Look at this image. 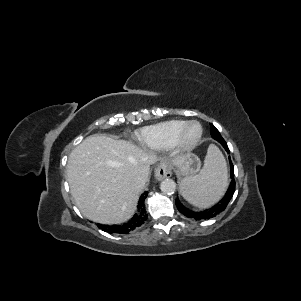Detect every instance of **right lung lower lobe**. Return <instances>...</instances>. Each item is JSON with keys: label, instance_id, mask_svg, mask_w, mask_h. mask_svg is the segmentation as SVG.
Masks as SVG:
<instances>
[{"label": "right lung lower lobe", "instance_id": "98d812e1", "mask_svg": "<svg viewBox=\"0 0 301 301\" xmlns=\"http://www.w3.org/2000/svg\"><path fill=\"white\" fill-rule=\"evenodd\" d=\"M147 194H148L147 192H144L141 195L139 204H138L139 214H135L134 217L129 222L124 223L122 225L97 224L98 227L108 233L127 234V233L133 231L135 228L142 225L147 219V214L144 209V199L146 198Z\"/></svg>", "mask_w": 301, "mask_h": 301}]
</instances>
